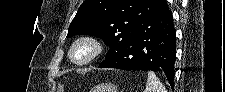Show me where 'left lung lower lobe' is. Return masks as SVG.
<instances>
[{
    "label": "left lung lower lobe",
    "instance_id": "0a47b994",
    "mask_svg": "<svg viewBox=\"0 0 225 92\" xmlns=\"http://www.w3.org/2000/svg\"><path fill=\"white\" fill-rule=\"evenodd\" d=\"M176 36L172 13L165 4L135 35L99 68L163 72L174 88Z\"/></svg>",
    "mask_w": 225,
    "mask_h": 92
}]
</instances>
